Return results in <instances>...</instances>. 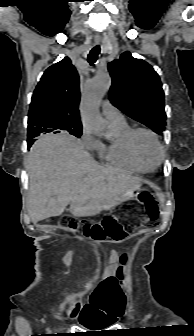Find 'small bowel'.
<instances>
[{"instance_id":"small-bowel-1","label":"small bowel","mask_w":194,"mask_h":336,"mask_svg":"<svg viewBox=\"0 0 194 336\" xmlns=\"http://www.w3.org/2000/svg\"><path fill=\"white\" fill-rule=\"evenodd\" d=\"M118 260L116 252L110 254V267L105 272V278L101 285L92 293L89 302V310L85 319L81 322L86 327H109L120 317V302L122 292L117 279L113 276L114 268Z\"/></svg>"}]
</instances>
